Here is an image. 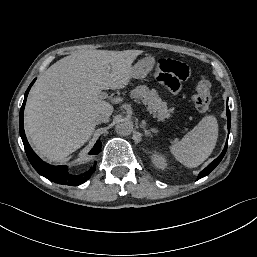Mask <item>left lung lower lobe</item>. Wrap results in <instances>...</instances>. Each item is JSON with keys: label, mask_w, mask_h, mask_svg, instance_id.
<instances>
[{"label": "left lung lower lobe", "mask_w": 257, "mask_h": 257, "mask_svg": "<svg viewBox=\"0 0 257 257\" xmlns=\"http://www.w3.org/2000/svg\"><path fill=\"white\" fill-rule=\"evenodd\" d=\"M227 118H228V130H230V111L228 108V100H227ZM227 145H228V139L226 141L224 150L222 151V153L220 154V156L218 158H216L211 164H209L203 171H201L198 175V179L203 178L204 176L208 175L222 160V158L225 155V152L227 150Z\"/></svg>", "instance_id": "obj_1"}]
</instances>
